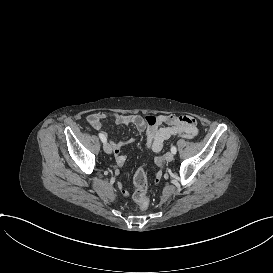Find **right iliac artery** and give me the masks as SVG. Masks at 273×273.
<instances>
[{
  "label": "right iliac artery",
  "mask_w": 273,
  "mask_h": 273,
  "mask_svg": "<svg viewBox=\"0 0 273 273\" xmlns=\"http://www.w3.org/2000/svg\"><path fill=\"white\" fill-rule=\"evenodd\" d=\"M99 137L103 143H106L107 139L102 133H99Z\"/></svg>",
  "instance_id": "1"
}]
</instances>
